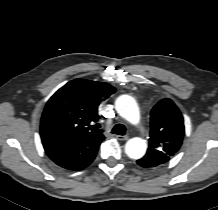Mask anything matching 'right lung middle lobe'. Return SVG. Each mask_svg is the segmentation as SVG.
<instances>
[{
  "mask_svg": "<svg viewBox=\"0 0 218 210\" xmlns=\"http://www.w3.org/2000/svg\"><path fill=\"white\" fill-rule=\"evenodd\" d=\"M54 126V122L52 119L50 118H46L44 120L41 121V128L44 130H51Z\"/></svg>",
  "mask_w": 218,
  "mask_h": 210,
  "instance_id": "1",
  "label": "right lung middle lobe"
}]
</instances>
